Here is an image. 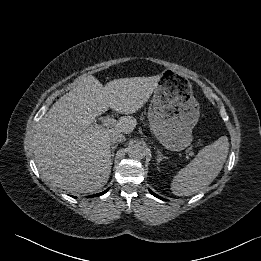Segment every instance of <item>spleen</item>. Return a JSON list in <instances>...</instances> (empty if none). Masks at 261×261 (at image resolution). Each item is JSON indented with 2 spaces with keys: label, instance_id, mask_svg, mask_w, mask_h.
<instances>
[{
  "label": "spleen",
  "instance_id": "spleen-1",
  "mask_svg": "<svg viewBox=\"0 0 261 261\" xmlns=\"http://www.w3.org/2000/svg\"><path fill=\"white\" fill-rule=\"evenodd\" d=\"M229 151L226 136L202 148L197 156L179 170L171 183V191L176 196H189L207 187L220 173Z\"/></svg>",
  "mask_w": 261,
  "mask_h": 261
}]
</instances>
